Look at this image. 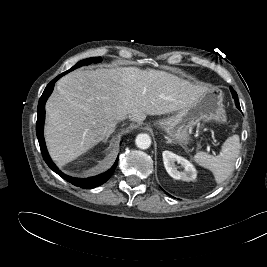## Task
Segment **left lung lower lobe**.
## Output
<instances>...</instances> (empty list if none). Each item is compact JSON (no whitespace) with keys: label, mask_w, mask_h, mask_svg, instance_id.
Here are the masks:
<instances>
[{"label":"left lung lower lobe","mask_w":267,"mask_h":267,"mask_svg":"<svg viewBox=\"0 0 267 267\" xmlns=\"http://www.w3.org/2000/svg\"><path fill=\"white\" fill-rule=\"evenodd\" d=\"M230 90H231V92H232V96H233V98H234V100H235V102H236V106H237V108H238L239 110H241V109H240V104H239V101H238L237 93L234 91V89H233L232 87H230Z\"/></svg>","instance_id":"0a47b994"}]
</instances>
